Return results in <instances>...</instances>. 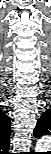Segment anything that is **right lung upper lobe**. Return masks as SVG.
<instances>
[{
  "mask_svg": "<svg viewBox=\"0 0 51 154\" xmlns=\"http://www.w3.org/2000/svg\"><path fill=\"white\" fill-rule=\"evenodd\" d=\"M3 115V121H5V127H6V131L9 132L10 131V119L7 115H5L4 113H2Z\"/></svg>",
  "mask_w": 51,
  "mask_h": 154,
  "instance_id": "obj_1",
  "label": "right lung upper lobe"
}]
</instances>
